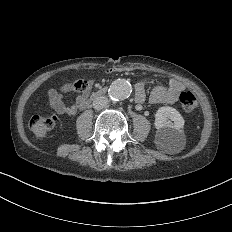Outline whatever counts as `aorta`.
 <instances>
[{
	"label": "aorta",
	"instance_id": "1",
	"mask_svg": "<svg viewBox=\"0 0 232 232\" xmlns=\"http://www.w3.org/2000/svg\"><path fill=\"white\" fill-rule=\"evenodd\" d=\"M132 87L130 83L124 79H117L112 82L109 88V97L112 100H124L130 96Z\"/></svg>",
	"mask_w": 232,
	"mask_h": 232
}]
</instances>
